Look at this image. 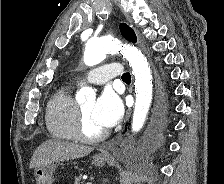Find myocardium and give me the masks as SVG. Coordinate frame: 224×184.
Here are the masks:
<instances>
[{
    "mask_svg": "<svg viewBox=\"0 0 224 184\" xmlns=\"http://www.w3.org/2000/svg\"><path fill=\"white\" fill-rule=\"evenodd\" d=\"M75 133L76 138L82 142L86 143H96L104 140L108 132L106 130L96 134V135H89L85 130V120L84 114L81 106H77L76 111V118H75Z\"/></svg>",
    "mask_w": 224,
    "mask_h": 184,
    "instance_id": "myocardium-1",
    "label": "myocardium"
}]
</instances>
